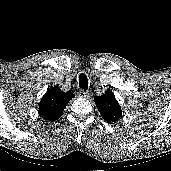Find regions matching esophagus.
<instances>
[{"label": "esophagus", "mask_w": 171, "mask_h": 171, "mask_svg": "<svg viewBox=\"0 0 171 171\" xmlns=\"http://www.w3.org/2000/svg\"><path fill=\"white\" fill-rule=\"evenodd\" d=\"M77 94L81 98H88L89 97V93L85 90H80Z\"/></svg>", "instance_id": "obj_1"}]
</instances>
